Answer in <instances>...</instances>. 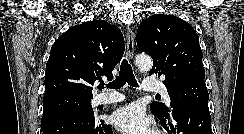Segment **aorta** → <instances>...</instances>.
Here are the masks:
<instances>
[{
  "mask_svg": "<svg viewBox=\"0 0 244 134\" xmlns=\"http://www.w3.org/2000/svg\"><path fill=\"white\" fill-rule=\"evenodd\" d=\"M135 61L140 71H149L153 65L152 59L147 55H139Z\"/></svg>",
  "mask_w": 244,
  "mask_h": 134,
  "instance_id": "1",
  "label": "aorta"
}]
</instances>
